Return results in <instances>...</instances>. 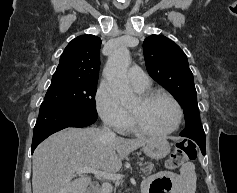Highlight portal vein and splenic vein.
I'll use <instances>...</instances> for the list:
<instances>
[{
  "instance_id": "1",
  "label": "portal vein and splenic vein",
  "mask_w": 237,
  "mask_h": 193,
  "mask_svg": "<svg viewBox=\"0 0 237 193\" xmlns=\"http://www.w3.org/2000/svg\"><path fill=\"white\" fill-rule=\"evenodd\" d=\"M75 171H76V174L93 173L96 176H99V177H102L105 179H109V180H113V181H118L123 178V175H121V174L104 172V171L97 170L95 168H86V167L85 168H76Z\"/></svg>"
}]
</instances>
